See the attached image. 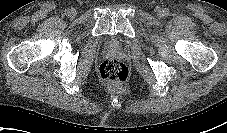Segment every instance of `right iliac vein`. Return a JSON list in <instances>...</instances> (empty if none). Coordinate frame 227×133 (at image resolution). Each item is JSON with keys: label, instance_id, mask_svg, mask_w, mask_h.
<instances>
[{"label": "right iliac vein", "instance_id": "obj_1", "mask_svg": "<svg viewBox=\"0 0 227 133\" xmlns=\"http://www.w3.org/2000/svg\"><path fill=\"white\" fill-rule=\"evenodd\" d=\"M76 15V12L74 10H70L69 16L74 17Z\"/></svg>", "mask_w": 227, "mask_h": 133}]
</instances>
